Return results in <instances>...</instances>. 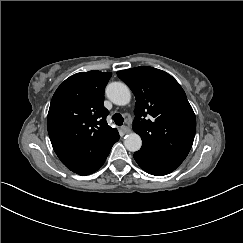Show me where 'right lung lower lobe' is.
<instances>
[{"label":"right lung lower lobe","instance_id":"1","mask_svg":"<svg viewBox=\"0 0 243 243\" xmlns=\"http://www.w3.org/2000/svg\"><path fill=\"white\" fill-rule=\"evenodd\" d=\"M108 154L105 155L101 160H99L92 168H90L89 170H87V171H85L83 173H80V175H89V174L94 173L95 171H97L104 164Z\"/></svg>","mask_w":243,"mask_h":243}]
</instances>
